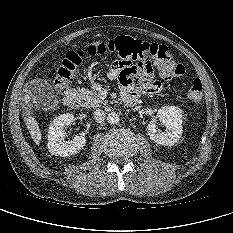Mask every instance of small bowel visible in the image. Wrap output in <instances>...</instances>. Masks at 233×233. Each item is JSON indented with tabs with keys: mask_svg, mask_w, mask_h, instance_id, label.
I'll return each mask as SVG.
<instances>
[{
	"mask_svg": "<svg viewBox=\"0 0 233 233\" xmlns=\"http://www.w3.org/2000/svg\"><path fill=\"white\" fill-rule=\"evenodd\" d=\"M160 65L161 58L156 53L138 52L133 58L118 61L108 76L118 78L123 96L158 93L162 90V83L152 78L157 75Z\"/></svg>",
	"mask_w": 233,
	"mask_h": 233,
	"instance_id": "small-bowel-1",
	"label": "small bowel"
}]
</instances>
